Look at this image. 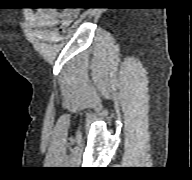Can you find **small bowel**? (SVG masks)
<instances>
[{
    "label": "small bowel",
    "instance_id": "obj_1",
    "mask_svg": "<svg viewBox=\"0 0 192 180\" xmlns=\"http://www.w3.org/2000/svg\"><path fill=\"white\" fill-rule=\"evenodd\" d=\"M70 21L71 15L69 13L56 10H39L34 15V24L38 27H49L60 22L68 24Z\"/></svg>",
    "mask_w": 192,
    "mask_h": 180
}]
</instances>
